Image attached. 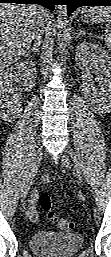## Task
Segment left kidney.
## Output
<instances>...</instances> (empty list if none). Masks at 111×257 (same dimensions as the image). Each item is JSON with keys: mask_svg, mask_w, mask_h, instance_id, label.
Instances as JSON below:
<instances>
[{"mask_svg": "<svg viewBox=\"0 0 111 257\" xmlns=\"http://www.w3.org/2000/svg\"><path fill=\"white\" fill-rule=\"evenodd\" d=\"M75 59L77 66L82 70H86L90 64L99 72L100 75L95 78L98 86L94 88L92 102L97 103L96 109L99 112L109 110L111 108V55L99 45L82 42L76 48Z\"/></svg>", "mask_w": 111, "mask_h": 257, "instance_id": "1", "label": "left kidney"}]
</instances>
